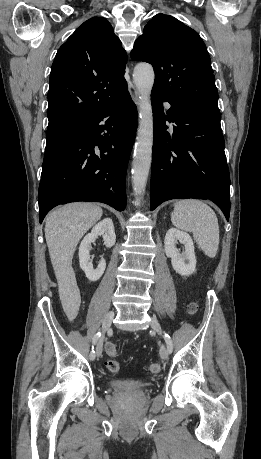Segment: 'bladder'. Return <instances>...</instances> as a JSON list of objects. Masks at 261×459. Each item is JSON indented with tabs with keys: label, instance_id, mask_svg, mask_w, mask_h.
<instances>
[{
	"label": "bladder",
	"instance_id": "bladder-1",
	"mask_svg": "<svg viewBox=\"0 0 261 459\" xmlns=\"http://www.w3.org/2000/svg\"><path fill=\"white\" fill-rule=\"evenodd\" d=\"M110 386L119 392H138L143 389L144 384L133 379H114L110 381Z\"/></svg>",
	"mask_w": 261,
	"mask_h": 459
}]
</instances>
